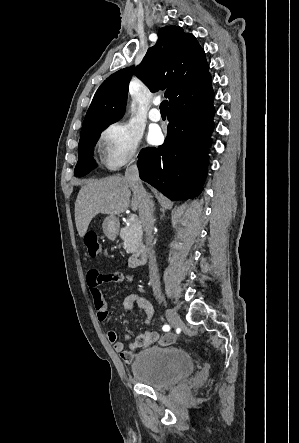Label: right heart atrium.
<instances>
[{
  "label": "right heart atrium",
  "instance_id": "right-heart-atrium-1",
  "mask_svg": "<svg viewBox=\"0 0 299 443\" xmlns=\"http://www.w3.org/2000/svg\"><path fill=\"white\" fill-rule=\"evenodd\" d=\"M141 132L131 123L118 121L105 127L100 134L104 164L112 169L138 159Z\"/></svg>",
  "mask_w": 299,
  "mask_h": 443
}]
</instances>
